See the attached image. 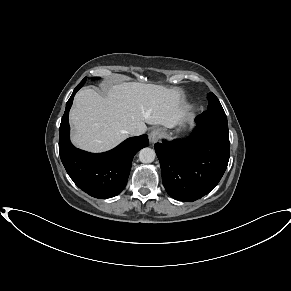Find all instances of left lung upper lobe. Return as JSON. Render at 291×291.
<instances>
[{
    "label": "left lung upper lobe",
    "mask_w": 291,
    "mask_h": 291,
    "mask_svg": "<svg viewBox=\"0 0 291 291\" xmlns=\"http://www.w3.org/2000/svg\"><path fill=\"white\" fill-rule=\"evenodd\" d=\"M207 99H208V107H207L208 111H224L218 98L212 92H210L207 95Z\"/></svg>",
    "instance_id": "1"
}]
</instances>
